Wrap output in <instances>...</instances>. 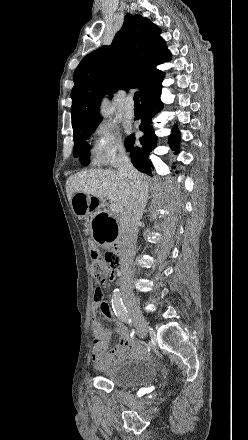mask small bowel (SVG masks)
Returning <instances> with one entry per match:
<instances>
[{"label": "small bowel", "instance_id": "1", "mask_svg": "<svg viewBox=\"0 0 248 440\" xmlns=\"http://www.w3.org/2000/svg\"><path fill=\"white\" fill-rule=\"evenodd\" d=\"M111 270L112 271H109V276L107 277L108 281H113V276L116 275L119 268L112 267ZM98 309H100L102 314L115 325L116 332L119 335L118 344L109 350L108 345L111 338V332L104 329L98 321L96 316ZM91 330L93 337L92 362L97 369H106L126 359H138L145 356L144 347L133 340L126 326L122 324L120 319L115 315L109 301L105 299V295L102 300L94 299L91 308Z\"/></svg>", "mask_w": 248, "mask_h": 440}]
</instances>
